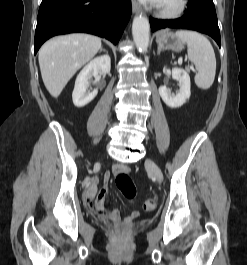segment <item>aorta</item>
Here are the masks:
<instances>
[{
    "label": "aorta",
    "mask_w": 247,
    "mask_h": 265,
    "mask_svg": "<svg viewBox=\"0 0 247 265\" xmlns=\"http://www.w3.org/2000/svg\"><path fill=\"white\" fill-rule=\"evenodd\" d=\"M150 26L146 17L139 15L134 17L132 35L137 49L144 53L149 45Z\"/></svg>",
    "instance_id": "aorta-1"
}]
</instances>
